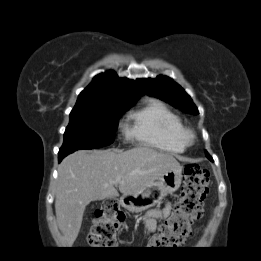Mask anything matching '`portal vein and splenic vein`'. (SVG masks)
I'll return each mask as SVG.
<instances>
[{"label": "portal vein and splenic vein", "instance_id": "portal-vein-and-splenic-vein-1", "mask_svg": "<svg viewBox=\"0 0 261 261\" xmlns=\"http://www.w3.org/2000/svg\"><path fill=\"white\" fill-rule=\"evenodd\" d=\"M120 180H121V179L118 178V179H116L113 183H114V184H118V183L120 182Z\"/></svg>", "mask_w": 261, "mask_h": 261}]
</instances>
